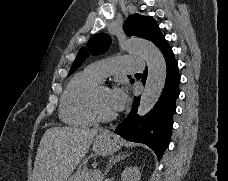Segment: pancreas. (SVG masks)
<instances>
[{
    "mask_svg": "<svg viewBox=\"0 0 228 181\" xmlns=\"http://www.w3.org/2000/svg\"><path fill=\"white\" fill-rule=\"evenodd\" d=\"M98 175L100 174L97 171H88L86 167H81L69 181H98Z\"/></svg>",
    "mask_w": 228,
    "mask_h": 181,
    "instance_id": "1",
    "label": "pancreas"
}]
</instances>
